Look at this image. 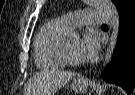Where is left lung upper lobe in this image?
Returning a JSON list of instances; mask_svg holds the SVG:
<instances>
[{
  "mask_svg": "<svg viewBox=\"0 0 135 95\" xmlns=\"http://www.w3.org/2000/svg\"><path fill=\"white\" fill-rule=\"evenodd\" d=\"M112 2L116 6L120 17L135 7V0H112Z\"/></svg>",
  "mask_w": 135,
  "mask_h": 95,
  "instance_id": "obj_1",
  "label": "left lung upper lobe"
}]
</instances>
